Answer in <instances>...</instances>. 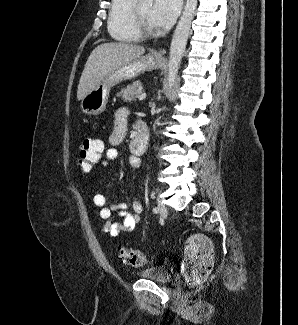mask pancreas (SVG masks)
<instances>
[{
	"mask_svg": "<svg viewBox=\"0 0 298 325\" xmlns=\"http://www.w3.org/2000/svg\"><path fill=\"white\" fill-rule=\"evenodd\" d=\"M139 86H142V80H135L132 84H127L124 88H121L120 92H117V96H121L124 102H136L140 92H138Z\"/></svg>",
	"mask_w": 298,
	"mask_h": 325,
	"instance_id": "pancreas-1",
	"label": "pancreas"
}]
</instances>
